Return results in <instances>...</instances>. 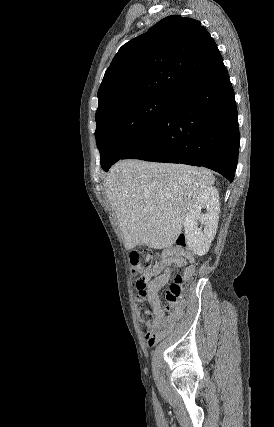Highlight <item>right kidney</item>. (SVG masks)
<instances>
[{
    "instance_id": "obj_1",
    "label": "right kidney",
    "mask_w": 274,
    "mask_h": 427,
    "mask_svg": "<svg viewBox=\"0 0 274 427\" xmlns=\"http://www.w3.org/2000/svg\"><path fill=\"white\" fill-rule=\"evenodd\" d=\"M202 208H206L207 214H201ZM219 214V192L215 186H209L199 194L183 221L186 245L196 255H205L209 251L217 231ZM198 221L204 223V229L198 227Z\"/></svg>"
}]
</instances>
